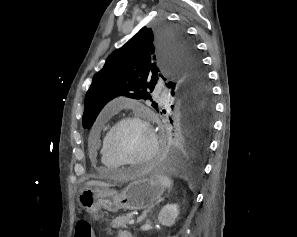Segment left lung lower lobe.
Segmentation results:
<instances>
[{"label": "left lung lower lobe", "instance_id": "left-lung-lower-lobe-1", "mask_svg": "<svg viewBox=\"0 0 297 237\" xmlns=\"http://www.w3.org/2000/svg\"><path fill=\"white\" fill-rule=\"evenodd\" d=\"M171 96L174 93L171 90ZM179 116V128L168 134L160 160L170 168H193L198 166L208 147L212 129V101L197 107L191 102L175 103Z\"/></svg>", "mask_w": 297, "mask_h": 237}]
</instances>
